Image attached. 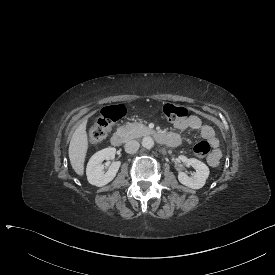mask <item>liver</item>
I'll return each mask as SVG.
<instances>
[{"label": "liver", "mask_w": 275, "mask_h": 275, "mask_svg": "<svg viewBox=\"0 0 275 275\" xmlns=\"http://www.w3.org/2000/svg\"><path fill=\"white\" fill-rule=\"evenodd\" d=\"M86 126L87 119L84 120L73 132L68 148V156L71 167L80 177L84 176L85 159L89 147Z\"/></svg>", "instance_id": "6515ba94"}]
</instances>
